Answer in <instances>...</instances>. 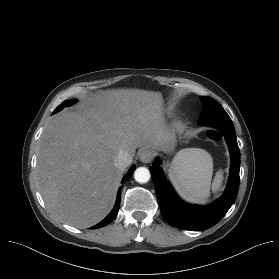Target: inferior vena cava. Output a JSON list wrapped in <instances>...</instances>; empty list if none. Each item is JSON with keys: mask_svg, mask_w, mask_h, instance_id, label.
Instances as JSON below:
<instances>
[{"mask_svg": "<svg viewBox=\"0 0 279 279\" xmlns=\"http://www.w3.org/2000/svg\"><path fill=\"white\" fill-rule=\"evenodd\" d=\"M132 162V156L128 152H120L115 159L114 165L124 170L127 166H129Z\"/></svg>", "mask_w": 279, "mask_h": 279, "instance_id": "1", "label": "inferior vena cava"}]
</instances>
